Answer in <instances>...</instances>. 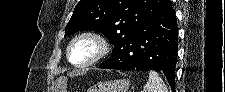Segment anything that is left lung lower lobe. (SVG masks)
Instances as JSON below:
<instances>
[{"label":"left lung lower lobe","mask_w":225,"mask_h":92,"mask_svg":"<svg viewBox=\"0 0 225 92\" xmlns=\"http://www.w3.org/2000/svg\"><path fill=\"white\" fill-rule=\"evenodd\" d=\"M176 23L175 11L171 2L167 1L143 22L132 39L99 68L161 71L174 91L178 49Z\"/></svg>","instance_id":"left-lung-lower-lobe-1"}]
</instances>
